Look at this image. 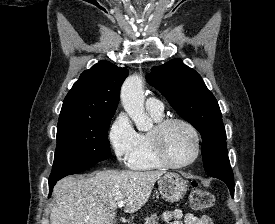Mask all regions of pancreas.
Masks as SVG:
<instances>
[{"label": "pancreas", "instance_id": "obj_1", "mask_svg": "<svg viewBox=\"0 0 275 224\" xmlns=\"http://www.w3.org/2000/svg\"><path fill=\"white\" fill-rule=\"evenodd\" d=\"M158 218L156 214H151L149 217L145 218L144 224H157Z\"/></svg>", "mask_w": 275, "mask_h": 224}]
</instances>
